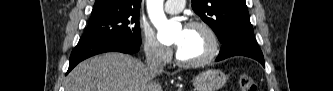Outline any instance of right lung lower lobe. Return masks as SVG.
<instances>
[{"mask_svg": "<svg viewBox=\"0 0 333 91\" xmlns=\"http://www.w3.org/2000/svg\"><path fill=\"white\" fill-rule=\"evenodd\" d=\"M139 48L140 45L132 44L119 38H81L71 53L67 73L79 62L93 55L112 51L133 54Z\"/></svg>", "mask_w": 333, "mask_h": 91, "instance_id": "right-lung-lower-lobe-1", "label": "right lung lower lobe"}]
</instances>
